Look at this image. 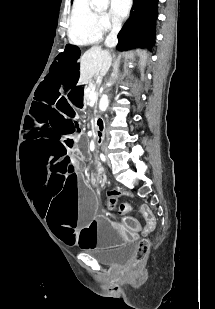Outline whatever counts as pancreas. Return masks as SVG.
<instances>
[{"mask_svg": "<svg viewBox=\"0 0 215 309\" xmlns=\"http://www.w3.org/2000/svg\"><path fill=\"white\" fill-rule=\"evenodd\" d=\"M96 84H99V82H96V80H89L88 86H85V88H84V100H85L86 104H88V102H90V100H91V98L89 96L90 90H93V88H96ZM94 112H97L96 106H95Z\"/></svg>", "mask_w": 215, "mask_h": 309, "instance_id": "obj_1", "label": "pancreas"}]
</instances>
